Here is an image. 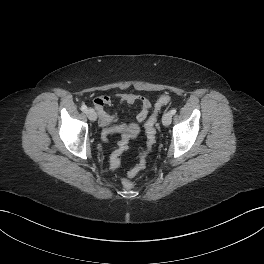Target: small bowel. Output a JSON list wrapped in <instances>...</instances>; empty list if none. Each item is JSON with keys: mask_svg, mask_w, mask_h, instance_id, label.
Listing matches in <instances>:
<instances>
[{"mask_svg": "<svg viewBox=\"0 0 264 264\" xmlns=\"http://www.w3.org/2000/svg\"><path fill=\"white\" fill-rule=\"evenodd\" d=\"M115 101L128 105L139 102L141 108L135 117L137 123H141L146 120L152 106L149 98L133 93H121L115 98L103 94L93 99V107L97 112L99 124L103 128V136L115 133L122 134V138L118 143V147L113 151L110 157V166L112 169L118 168L120 164V156L127 149V147L123 146V140L126 139L129 142L130 139V127L126 124H115L116 116L107 112L106 110V108L112 106Z\"/></svg>", "mask_w": 264, "mask_h": 264, "instance_id": "1", "label": "small bowel"}]
</instances>
